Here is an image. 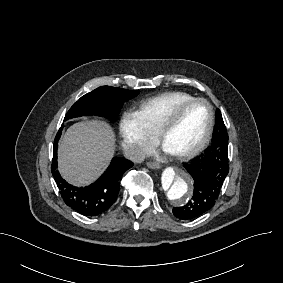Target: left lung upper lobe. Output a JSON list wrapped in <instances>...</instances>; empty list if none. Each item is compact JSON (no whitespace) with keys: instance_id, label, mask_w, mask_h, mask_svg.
<instances>
[{"instance_id":"5c2ea615","label":"left lung upper lobe","mask_w":283,"mask_h":283,"mask_svg":"<svg viewBox=\"0 0 283 283\" xmlns=\"http://www.w3.org/2000/svg\"><path fill=\"white\" fill-rule=\"evenodd\" d=\"M216 116H221V112L218 109L216 110Z\"/></svg>"}]
</instances>
